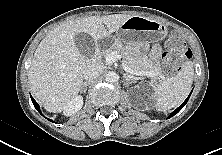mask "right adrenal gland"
I'll return each mask as SVG.
<instances>
[{
  "label": "right adrenal gland",
  "instance_id": "1",
  "mask_svg": "<svg viewBox=\"0 0 222 155\" xmlns=\"http://www.w3.org/2000/svg\"><path fill=\"white\" fill-rule=\"evenodd\" d=\"M90 84V81H86L82 84V87H81V92L83 91L84 93H86L87 91V86Z\"/></svg>",
  "mask_w": 222,
  "mask_h": 155
}]
</instances>
